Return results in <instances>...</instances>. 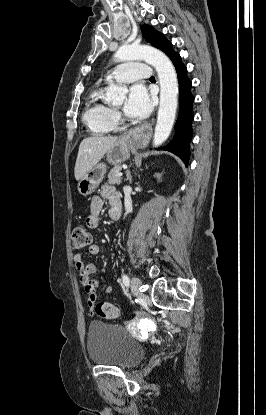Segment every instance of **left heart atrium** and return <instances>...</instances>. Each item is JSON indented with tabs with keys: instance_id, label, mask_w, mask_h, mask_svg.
I'll return each instance as SVG.
<instances>
[{
	"instance_id": "left-heart-atrium-1",
	"label": "left heart atrium",
	"mask_w": 266,
	"mask_h": 415,
	"mask_svg": "<svg viewBox=\"0 0 266 415\" xmlns=\"http://www.w3.org/2000/svg\"><path fill=\"white\" fill-rule=\"evenodd\" d=\"M153 108L152 98L147 88L142 84H134L124 105L126 115L134 118L147 116Z\"/></svg>"
}]
</instances>
